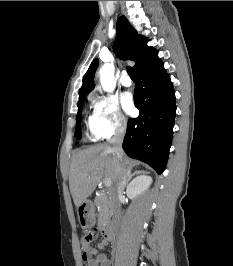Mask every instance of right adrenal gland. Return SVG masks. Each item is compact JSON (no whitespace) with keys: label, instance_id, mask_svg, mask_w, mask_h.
Wrapping results in <instances>:
<instances>
[{"label":"right adrenal gland","instance_id":"obj_1","mask_svg":"<svg viewBox=\"0 0 233 266\" xmlns=\"http://www.w3.org/2000/svg\"><path fill=\"white\" fill-rule=\"evenodd\" d=\"M143 173H144V171H135L133 173L129 172L128 178H127V183H126L127 187H128L129 182H130V180L132 179L133 176L140 175V174H143Z\"/></svg>","mask_w":233,"mask_h":266}]
</instances>
